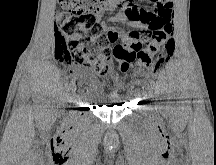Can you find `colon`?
I'll return each mask as SVG.
<instances>
[{
    "mask_svg": "<svg viewBox=\"0 0 216 165\" xmlns=\"http://www.w3.org/2000/svg\"><path fill=\"white\" fill-rule=\"evenodd\" d=\"M114 1L58 0L62 8L55 25V53L58 58L92 70L101 79L110 74L113 58L121 70L133 62L141 67L159 68L175 47L172 10L157 8L154 13H129L134 19L146 20L148 26L130 31L129 39L111 49L97 15ZM142 40L147 41L145 48H142Z\"/></svg>",
    "mask_w": 216,
    "mask_h": 165,
    "instance_id": "5ec220e1",
    "label": "colon"
}]
</instances>
